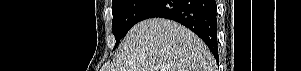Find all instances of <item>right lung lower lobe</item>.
I'll return each mask as SVG.
<instances>
[{
  "label": "right lung lower lobe",
  "mask_w": 301,
  "mask_h": 71,
  "mask_svg": "<svg viewBox=\"0 0 301 71\" xmlns=\"http://www.w3.org/2000/svg\"><path fill=\"white\" fill-rule=\"evenodd\" d=\"M155 17L174 20L191 29L218 60L215 0H155L143 12L140 21Z\"/></svg>",
  "instance_id": "1"
}]
</instances>
